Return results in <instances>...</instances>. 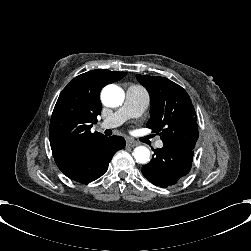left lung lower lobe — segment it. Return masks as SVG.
I'll list each match as a JSON object with an SVG mask.
<instances>
[{"mask_svg": "<svg viewBox=\"0 0 251 251\" xmlns=\"http://www.w3.org/2000/svg\"><path fill=\"white\" fill-rule=\"evenodd\" d=\"M153 151L152 160L142 166V173L155 186L174 185L189 173L193 150L162 147Z\"/></svg>", "mask_w": 251, "mask_h": 251, "instance_id": "left-lung-lower-lobe-1", "label": "left lung lower lobe"}]
</instances>
